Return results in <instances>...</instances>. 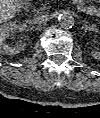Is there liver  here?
Instances as JSON below:
<instances>
[{"label": "liver", "instance_id": "obj_1", "mask_svg": "<svg viewBox=\"0 0 100 118\" xmlns=\"http://www.w3.org/2000/svg\"><path fill=\"white\" fill-rule=\"evenodd\" d=\"M20 9L17 0H0V17L1 21H7L15 16Z\"/></svg>", "mask_w": 100, "mask_h": 118}]
</instances>
